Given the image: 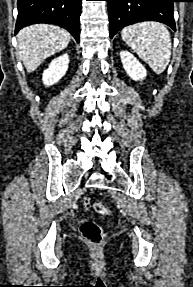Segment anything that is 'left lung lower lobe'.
Returning a JSON list of instances; mask_svg holds the SVG:
<instances>
[{"mask_svg": "<svg viewBox=\"0 0 193 287\" xmlns=\"http://www.w3.org/2000/svg\"><path fill=\"white\" fill-rule=\"evenodd\" d=\"M108 2L110 38L121 28L142 21L162 22L175 30L176 0H105Z\"/></svg>", "mask_w": 193, "mask_h": 287, "instance_id": "1", "label": "left lung lower lobe"}]
</instances>
